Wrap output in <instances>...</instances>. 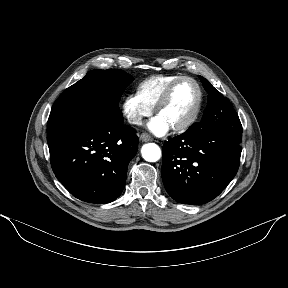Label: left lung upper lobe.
Here are the masks:
<instances>
[{"instance_id":"5c2ea615","label":"left lung upper lobe","mask_w":288,"mask_h":288,"mask_svg":"<svg viewBox=\"0 0 288 288\" xmlns=\"http://www.w3.org/2000/svg\"><path fill=\"white\" fill-rule=\"evenodd\" d=\"M204 89L208 92L207 108L202 120L194 123L188 130L207 128L229 135L237 141L242 140V125L230 101L216 90L209 81L199 76Z\"/></svg>"}]
</instances>
